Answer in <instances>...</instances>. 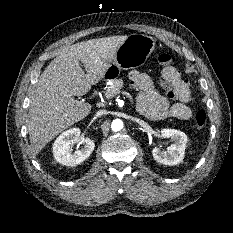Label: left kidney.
Segmentation results:
<instances>
[{"mask_svg":"<svg viewBox=\"0 0 233 233\" xmlns=\"http://www.w3.org/2000/svg\"><path fill=\"white\" fill-rule=\"evenodd\" d=\"M161 136L163 138H171L174 142L166 151H162L159 148L152 150L153 158L164 165H177L183 161L186 144L188 141L187 135L176 129H162Z\"/></svg>","mask_w":233,"mask_h":233,"instance_id":"5707ae66","label":"left kidney"}]
</instances>
